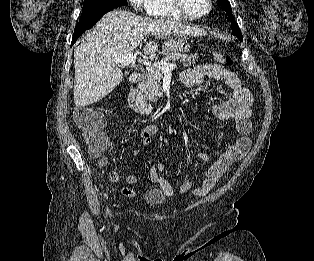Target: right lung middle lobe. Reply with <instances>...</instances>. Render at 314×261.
Segmentation results:
<instances>
[{"mask_svg":"<svg viewBox=\"0 0 314 261\" xmlns=\"http://www.w3.org/2000/svg\"><path fill=\"white\" fill-rule=\"evenodd\" d=\"M126 4V0H84L79 22L90 20L101 13Z\"/></svg>","mask_w":314,"mask_h":261,"instance_id":"1","label":"right lung middle lobe"}]
</instances>
